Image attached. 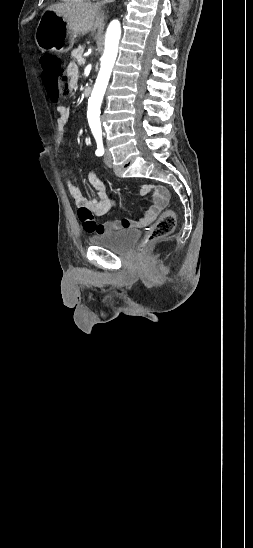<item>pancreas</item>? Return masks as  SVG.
<instances>
[{"label": "pancreas", "instance_id": "pancreas-1", "mask_svg": "<svg viewBox=\"0 0 253 548\" xmlns=\"http://www.w3.org/2000/svg\"><path fill=\"white\" fill-rule=\"evenodd\" d=\"M83 52H84V46H79L78 48L74 49V50L71 52V55H72V57H73L76 61L79 62V60H80L81 58H83V57H82ZM79 63H80V62H79Z\"/></svg>", "mask_w": 253, "mask_h": 548}]
</instances>
